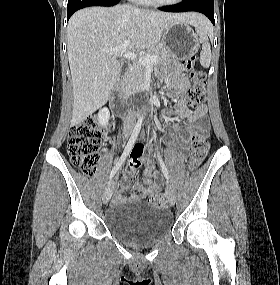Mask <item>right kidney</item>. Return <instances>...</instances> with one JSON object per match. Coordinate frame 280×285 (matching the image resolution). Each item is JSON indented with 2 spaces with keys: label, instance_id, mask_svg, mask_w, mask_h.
I'll return each mask as SVG.
<instances>
[{
  "label": "right kidney",
  "instance_id": "1",
  "mask_svg": "<svg viewBox=\"0 0 280 285\" xmlns=\"http://www.w3.org/2000/svg\"><path fill=\"white\" fill-rule=\"evenodd\" d=\"M109 118H110V112L108 108H103L99 110L98 116H97L99 125H101L102 127H105L109 121Z\"/></svg>",
  "mask_w": 280,
  "mask_h": 285
}]
</instances>
